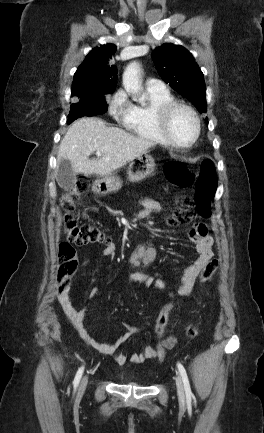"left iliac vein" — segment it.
Masks as SVG:
<instances>
[{
	"label": "left iliac vein",
	"instance_id": "1",
	"mask_svg": "<svg viewBox=\"0 0 264 433\" xmlns=\"http://www.w3.org/2000/svg\"><path fill=\"white\" fill-rule=\"evenodd\" d=\"M175 382H176L177 394H178L179 400L181 402H184L185 401L184 386H183V382L181 380V377L178 374H176V376H175Z\"/></svg>",
	"mask_w": 264,
	"mask_h": 433
}]
</instances>
